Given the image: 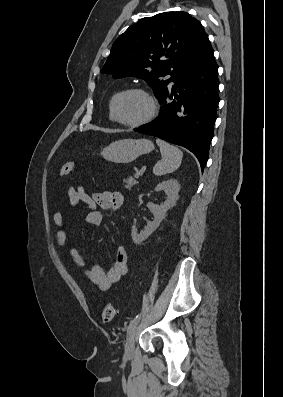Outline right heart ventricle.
<instances>
[{"instance_id": "right-heart-ventricle-1", "label": "right heart ventricle", "mask_w": 283, "mask_h": 397, "mask_svg": "<svg viewBox=\"0 0 283 397\" xmlns=\"http://www.w3.org/2000/svg\"><path fill=\"white\" fill-rule=\"evenodd\" d=\"M115 94L111 97V100H110V103H109V117H110L111 120H113L112 113H111V101H112L113 97L115 96Z\"/></svg>"}]
</instances>
